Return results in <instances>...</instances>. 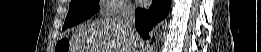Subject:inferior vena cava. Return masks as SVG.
Wrapping results in <instances>:
<instances>
[{
	"mask_svg": "<svg viewBox=\"0 0 261 52\" xmlns=\"http://www.w3.org/2000/svg\"><path fill=\"white\" fill-rule=\"evenodd\" d=\"M135 8L129 3H124L120 7L118 23L122 27L124 33L134 42L133 48L136 49V37L134 33ZM135 52V50H133Z\"/></svg>",
	"mask_w": 261,
	"mask_h": 52,
	"instance_id": "inferior-vena-cava-1",
	"label": "inferior vena cava"
}]
</instances>
